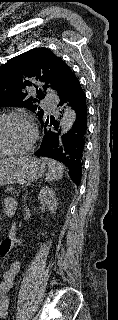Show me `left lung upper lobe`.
<instances>
[{
	"instance_id": "1",
	"label": "left lung upper lobe",
	"mask_w": 118,
	"mask_h": 320,
	"mask_svg": "<svg viewBox=\"0 0 118 320\" xmlns=\"http://www.w3.org/2000/svg\"><path fill=\"white\" fill-rule=\"evenodd\" d=\"M72 74L70 67L49 49L27 51L0 66V106L26 107L41 120L46 112L36 103L45 96L35 83L58 94ZM31 86L37 89V98L27 93Z\"/></svg>"
}]
</instances>
